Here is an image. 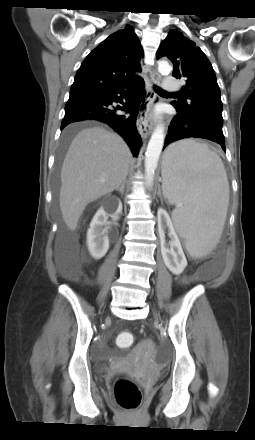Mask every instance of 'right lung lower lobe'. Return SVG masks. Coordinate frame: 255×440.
Wrapping results in <instances>:
<instances>
[{
  "mask_svg": "<svg viewBox=\"0 0 255 440\" xmlns=\"http://www.w3.org/2000/svg\"><path fill=\"white\" fill-rule=\"evenodd\" d=\"M145 95L141 77L110 89L71 95L65 106L61 129L83 120L104 122L124 138L133 155L137 156L142 140L136 128V116L143 106L141 102ZM113 102H119L123 107H114ZM119 111L130 113V116L120 114Z\"/></svg>",
  "mask_w": 255,
  "mask_h": 440,
  "instance_id": "right-lung-lower-lobe-1",
  "label": "right lung lower lobe"
}]
</instances>
